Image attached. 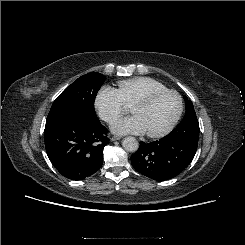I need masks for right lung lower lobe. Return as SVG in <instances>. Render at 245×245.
<instances>
[{
  "mask_svg": "<svg viewBox=\"0 0 245 245\" xmlns=\"http://www.w3.org/2000/svg\"><path fill=\"white\" fill-rule=\"evenodd\" d=\"M106 133L100 122L79 117L47 119L44 131L47 155L60 174L82 180L101 168L103 149L109 143Z\"/></svg>",
  "mask_w": 245,
  "mask_h": 245,
  "instance_id": "98d812e1",
  "label": "right lung lower lobe"
}]
</instances>
